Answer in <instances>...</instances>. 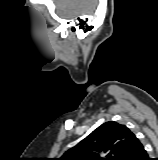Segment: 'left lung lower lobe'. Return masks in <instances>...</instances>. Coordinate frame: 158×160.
<instances>
[{
    "instance_id": "left-lung-lower-lobe-1",
    "label": "left lung lower lobe",
    "mask_w": 158,
    "mask_h": 160,
    "mask_svg": "<svg viewBox=\"0 0 158 160\" xmlns=\"http://www.w3.org/2000/svg\"><path fill=\"white\" fill-rule=\"evenodd\" d=\"M126 160H149L142 143L136 138Z\"/></svg>"
}]
</instances>
